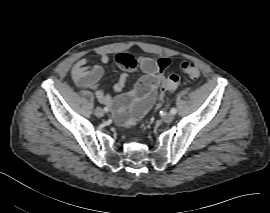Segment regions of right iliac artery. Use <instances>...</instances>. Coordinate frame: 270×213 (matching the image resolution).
Here are the masks:
<instances>
[{
  "label": "right iliac artery",
  "instance_id": "obj_1",
  "mask_svg": "<svg viewBox=\"0 0 270 213\" xmlns=\"http://www.w3.org/2000/svg\"><path fill=\"white\" fill-rule=\"evenodd\" d=\"M108 111H109V108H108V107H105V108H104V112L107 113Z\"/></svg>",
  "mask_w": 270,
  "mask_h": 213
}]
</instances>
